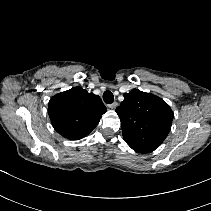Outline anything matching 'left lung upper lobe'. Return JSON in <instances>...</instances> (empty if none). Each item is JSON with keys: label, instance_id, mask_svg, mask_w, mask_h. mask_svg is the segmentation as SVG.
Listing matches in <instances>:
<instances>
[{"label": "left lung upper lobe", "instance_id": "obj_1", "mask_svg": "<svg viewBox=\"0 0 211 211\" xmlns=\"http://www.w3.org/2000/svg\"><path fill=\"white\" fill-rule=\"evenodd\" d=\"M125 142L138 153H150L167 137L173 111L160 97L133 89L116 108Z\"/></svg>", "mask_w": 211, "mask_h": 211}]
</instances>
